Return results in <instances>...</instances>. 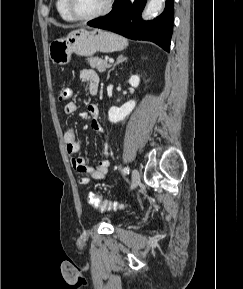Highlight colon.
<instances>
[{
  "label": "colon",
  "mask_w": 243,
  "mask_h": 289,
  "mask_svg": "<svg viewBox=\"0 0 243 289\" xmlns=\"http://www.w3.org/2000/svg\"><path fill=\"white\" fill-rule=\"evenodd\" d=\"M71 96V90L68 87H62L59 91V100L60 101H66ZM88 203L93 206L96 209L102 210V211H110L115 210L118 208H122L121 204H118L116 202H111L105 199H101L94 193H89L87 196Z\"/></svg>",
  "instance_id": "1"
}]
</instances>
